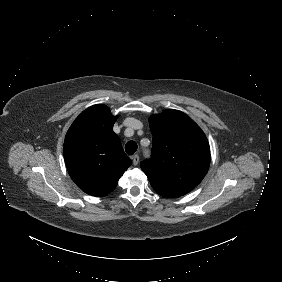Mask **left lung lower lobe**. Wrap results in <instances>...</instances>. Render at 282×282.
<instances>
[{
  "mask_svg": "<svg viewBox=\"0 0 282 282\" xmlns=\"http://www.w3.org/2000/svg\"><path fill=\"white\" fill-rule=\"evenodd\" d=\"M151 186L153 187V189L161 196L163 197H167V198H172V197H179L182 195L187 194L188 192H190L191 190H185L182 188H178V187H158L155 186L151 181Z\"/></svg>",
  "mask_w": 282,
  "mask_h": 282,
  "instance_id": "1",
  "label": "left lung lower lobe"
}]
</instances>
